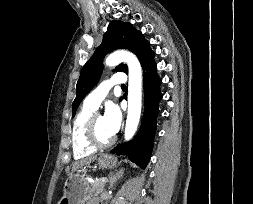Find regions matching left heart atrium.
<instances>
[{
	"instance_id": "obj_1",
	"label": "left heart atrium",
	"mask_w": 253,
	"mask_h": 204,
	"mask_svg": "<svg viewBox=\"0 0 253 204\" xmlns=\"http://www.w3.org/2000/svg\"><path fill=\"white\" fill-rule=\"evenodd\" d=\"M104 121L108 131L114 135L118 132L122 122V113L115 103H109L106 106Z\"/></svg>"
}]
</instances>
